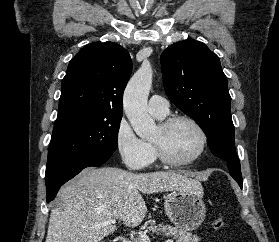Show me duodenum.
<instances>
[{
    "instance_id": "obj_1",
    "label": "duodenum",
    "mask_w": 279,
    "mask_h": 242,
    "mask_svg": "<svg viewBox=\"0 0 279 242\" xmlns=\"http://www.w3.org/2000/svg\"><path fill=\"white\" fill-rule=\"evenodd\" d=\"M114 242H128V241L123 237H118L114 239Z\"/></svg>"
}]
</instances>
